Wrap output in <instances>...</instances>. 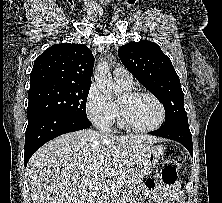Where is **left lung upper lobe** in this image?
<instances>
[{
	"label": "left lung upper lobe",
	"instance_id": "left-lung-upper-lobe-1",
	"mask_svg": "<svg viewBox=\"0 0 222 203\" xmlns=\"http://www.w3.org/2000/svg\"><path fill=\"white\" fill-rule=\"evenodd\" d=\"M123 65L164 106L166 120L162 127L188 126L184 94L171 60L150 41L130 42L118 50Z\"/></svg>",
	"mask_w": 222,
	"mask_h": 203
}]
</instances>
